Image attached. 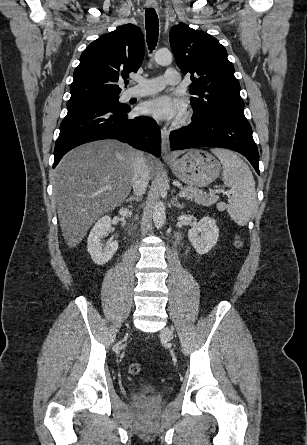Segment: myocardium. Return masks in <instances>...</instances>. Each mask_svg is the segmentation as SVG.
Masks as SVG:
<instances>
[{
	"instance_id": "myocardium-1",
	"label": "myocardium",
	"mask_w": 307,
	"mask_h": 445,
	"mask_svg": "<svg viewBox=\"0 0 307 445\" xmlns=\"http://www.w3.org/2000/svg\"><path fill=\"white\" fill-rule=\"evenodd\" d=\"M192 117V113H187V115L185 116V120L183 123H185L187 120H189Z\"/></svg>"
}]
</instances>
